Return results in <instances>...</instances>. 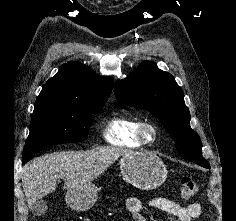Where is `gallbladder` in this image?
Segmentation results:
<instances>
[{
	"label": "gallbladder",
	"mask_w": 236,
	"mask_h": 221,
	"mask_svg": "<svg viewBox=\"0 0 236 221\" xmlns=\"http://www.w3.org/2000/svg\"><path fill=\"white\" fill-rule=\"evenodd\" d=\"M31 209L35 215L42 216L48 209L47 202L42 199H38L33 203Z\"/></svg>",
	"instance_id": "obj_1"
}]
</instances>
